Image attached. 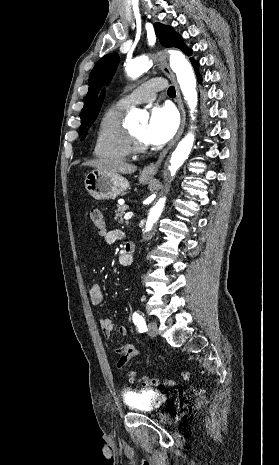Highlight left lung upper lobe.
<instances>
[{"label": "left lung upper lobe", "instance_id": "5c2ea615", "mask_svg": "<svg viewBox=\"0 0 279 465\" xmlns=\"http://www.w3.org/2000/svg\"><path fill=\"white\" fill-rule=\"evenodd\" d=\"M156 36L162 45L166 47H177L185 54L191 55L192 50L187 48L182 38L173 30L172 27L161 23L154 24ZM190 60H194L190 58ZM118 64V55L116 53L107 54L102 57L94 66L89 77V91L87 93L84 107L81 111V126L79 134L81 135L90 119L92 109L101 86L112 78Z\"/></svg>", "mask_w": 279, "mask_h": 465}]
</instances>
